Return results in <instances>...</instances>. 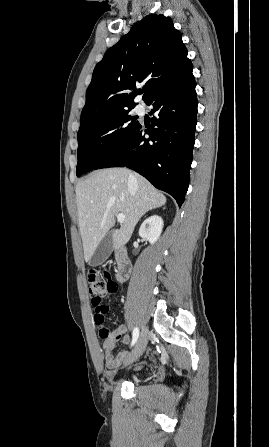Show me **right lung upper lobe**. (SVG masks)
Masks as SVG:
<instances>
[{
	"label": "right lung upper lobe",
	"instance_id": "1",
	"mask_svg": "<svg viewBox=\"0 0 269 447\" xmlns=\"http://www.w3.org/2000/svg\"><path fill=\"white\" fill-rule=\"evenodd\" d=\"M190 63L181 33L164 15L150 14L106 51L86 92L80 127L100 115L131 106L144 83V102Z\"/></svg>",
	"mask_w": 269,
	"mask_h": 447
}]
</instances>
